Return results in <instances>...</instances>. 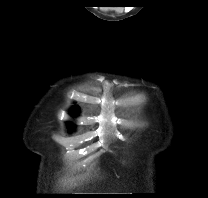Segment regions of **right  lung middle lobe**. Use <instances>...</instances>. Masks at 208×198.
<instances>
[{
	"mask_svg": "<svg viewBox=\"0 0 208 198\" xmlns=\"http://www.w3.org/2000/svg\"><path fill=\"white\" fill-rule=\"evenodd\" d=\"M69 127L71 128V129H73L74 128V125L73 124H69Z\"/></svg>",
	"mask_w": 208,
	"mask_h": 198,
	"instance_id": "dd1d6c3e",
	"label": "right lung middle lobe"
}]
</instances>
